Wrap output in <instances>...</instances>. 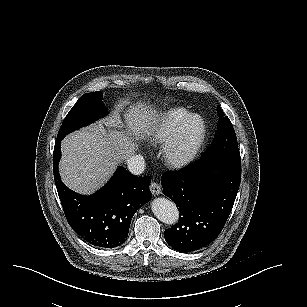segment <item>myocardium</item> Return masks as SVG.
<instances>
[{"instance_id":"obj_1","label":"myocardium","mask_w":307,"mask_h":307,"mask_svg":"<svg viewBox=\"0 0 307 307\" xmlns=\"http://www.w3.org/2000/svg\"><path fill=\"white\" fill-rule=\"evenodd\" d=\"M176 128L156 145L155 151L164 158L165 171L190 163L199 153L205 138V124L199 113H186L179 119Z\"/></svg>"}]
</instances>
